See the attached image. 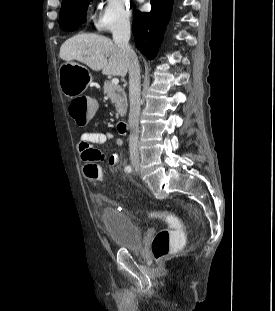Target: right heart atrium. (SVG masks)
I'll return each instance as SVG.
<instances>
[{"label":"right heart atrium","mask_w":275,"mask_h":311,"mask_svg":"<svg viewBox=\"0 0 275 311\" xmlns=\"http://www.w3.org/2000/svg\"><path fill=\"white\" fill-rule=\"evenodd\" d=\"M132 8L130 0H105L104 6L94 20L99 32H116L131 25Z\"/></svg>","instance_id":"d8ad5b80"}]
</instances>
